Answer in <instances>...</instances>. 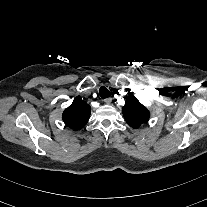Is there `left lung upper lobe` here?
Wrapping results in <instances>:
<instances>
[{"label":"left lung upper lobe","mask_w":207,"mask_h":207,"mask_svg":"<svg viewBox=\"0 0 207 207\" xmlns=\"http://www.w3.org/2000/svg\"><path fill=\"white\" fill-rule=\"evenodd\" d=\"M122 112L126 122L132 128H138L149 120V111L133 95L126 99Z\"/></svg>","instance_id":"5c2ea615"}]
</instances>
